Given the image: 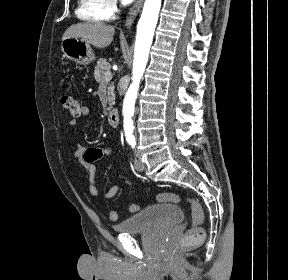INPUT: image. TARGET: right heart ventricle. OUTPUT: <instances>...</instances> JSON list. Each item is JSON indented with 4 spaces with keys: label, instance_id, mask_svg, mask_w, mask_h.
I'll return each mask as SVG.
<instances>
[{
    "label": "right heart ventricle",
    "instance_id": "e07e8e85",
    "mask_svg": "<svg viewBox=\"0 0 288 280\" xmlns=\"http://www.w3.org/2000/svg\"><path fill=\"white\" fill-rule=\"evenodd\" d=\"M76 15L84 21H105L108 18L105 10V0H79Z\"/></svg>",
    "mask_w": 288,
    "mask_h": 280
}]
</instances>
